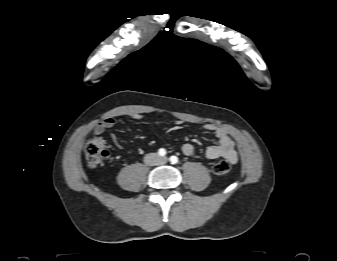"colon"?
I'll list each match as a JSON object with an SVG mask.
<instances>
[{
    "instance_id": "obj_1",
    "label": "colon",
    "mask_w": 337,
    "mask_h": 261,
    "mask_svg": "<svg viewBox=\"0 0 337 261\" xmlns=\"http://www.w3.org/2000/svg\"><path fill=\"white\" fill-rule=\"evenodd\" d=\"M109 156V150L102 137L91 138L85 147L87 165L91 168L100 166ZM231 165L227 160H220L213 165V171L217 175H226L230 172Z\"/></svg>"
}]
</instances>
